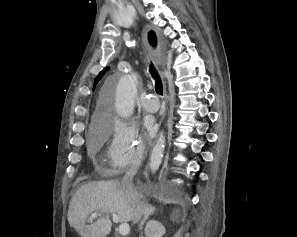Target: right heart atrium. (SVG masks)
Returning <instances> with one entry per match:
<instances>
[{
  "instance_id": "obj_1",
  "label": "right heart atrium",
  "mask_w": 297,
  "mask_h": 237,
  "mask_svg": "<svg viewBox=\"0 0 297 237\" xmlns=\"http://www.w3.org/2000/svg\"><path fill=\"white\" fill-rule=\"evenodd\" d=\"M100 126V141H108L107 161L113 173L140 163L145 142L135 124L109 114L100 120Z\"/></svg>"
}]
</instances>
